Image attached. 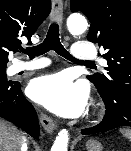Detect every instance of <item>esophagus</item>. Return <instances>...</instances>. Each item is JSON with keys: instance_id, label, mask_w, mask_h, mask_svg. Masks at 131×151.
Here are the masks:
<instances>
[{"instance_id": "1", "label": "esophagus", "mask_w": 131, "mask_h": 151, "mask_svg": "<svg viewBox=\"0 0 131 151\" xmlns=\"http://www.w3.org/2000/svg\"><path fill=\"white\" fill-rule=\"evenodd\" d=\"M52 19L60 26L63 23V2L62 0H52ZM40 122L44 130L48 133H53L56 129L55 122L46 114H40Z\"/></svg>"}]
</instances>
